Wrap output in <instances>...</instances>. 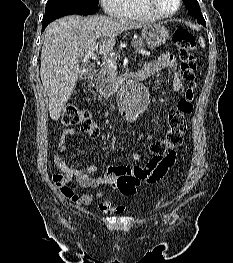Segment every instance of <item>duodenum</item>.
Returning <instances> with one entry per match:
<instances>
[{"label": "duodenum", "mask_w": 233, "mask_h": 263, "mask_svg": "<svg viewBox=\"0 0 233 263\" xmlns=\"http://www.w3.org/2000/svg\"><path fill=\"white\" fill-rule=\"evenodd\" d=\"M96 74V71L92 68L87 69L82 74V79L85 81H91ZM129 73H124L123 75H115L114 78H108L106 81L107 85H103V90H107V93L117 92L123 86V83H129ZM148 76L141 69L131 75V80H144ZM101 97H105V94H101Z\"/></svg>", "instance_id": "1"}]
</instances>
